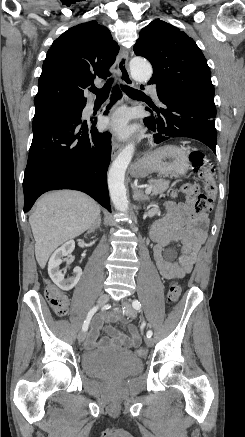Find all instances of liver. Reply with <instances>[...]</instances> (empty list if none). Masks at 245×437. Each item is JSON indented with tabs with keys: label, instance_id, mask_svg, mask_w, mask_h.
Returning a JSON list of instances; mask_svg holds the SVG:
<instances>
[{
	"label": "liver",
	"instance_id": "obj_1",
	"mask_svg": "<svg viewBox=\"0 0 245 437\" xmlns=\"http://www.w3.org/2000/svg\"><path fill=\"white\" fill-rule=\"evenodd\" d=\"M99 215V205L81 192L62 190L40 198L29 217L39 266L44 268L58 246L91 228Z\"/></svg>",
	"mask_w": 245,
	"mask_h": 437
}]
</instances>
